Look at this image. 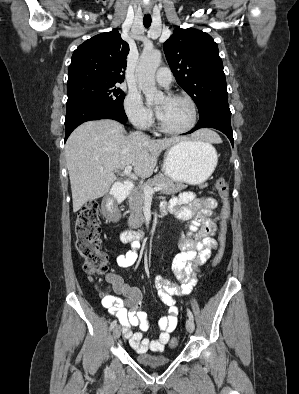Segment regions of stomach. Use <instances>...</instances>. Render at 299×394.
Wrapping results in <instances>:
<instances>
[{
  "instance_id": "stomach-1",
  "label": "stomach",
  "mask_w": 299,
  "mask_h": 394,
  "mask_svg": "<svg viewBox=\"0 0 299 394\" xmlns=\"http://www.w3.org/2000/svg\"><path fill=\"white\" fill-rule=\"evenodd\" d=\"M217 161L216 150L212 151L208 143L180 141L167 150L162 172L175 182L200 185L211 176Z\"/></svg>"
}]
</instances>
